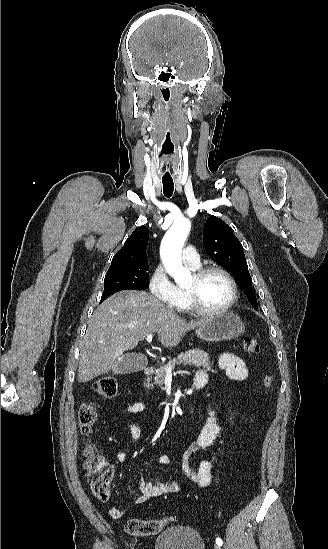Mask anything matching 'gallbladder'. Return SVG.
<instances>
[{
    "mask_svg": "<svg viewBox=\"0 0 328 549\" xmlns=\"http://www.w3.org/2000/svg\"><path fill=\"white\" fill-rule=\"evenodd\" d=\"M148 361L145 355L141 353H126L121 361H118L116 367H113V375H128V373H138L147 367Z\"/></svg>",
    "mask_w": 328,
    "mask_h": 549,
    "instance_id": "obj_1",
    "label": "gallbladder"
}]
</instances>
